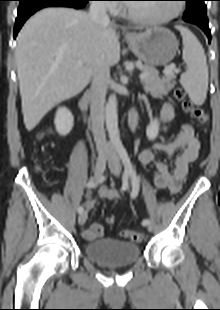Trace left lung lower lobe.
<instances>
[{
	"label": "left lung lower lobe",
	"instance_id": "0a47b994",
	"mask_svg": "<svg viewBox=\"0 0 220 310\" xmlns=\"http://www.w3.org/2000/svg\"><path fill=\"white\" fill-rule=\"evenodd\" d=\"M189 23L195 24L198 27H200L204 31V33L207 35L208 41L209 42L211 41V34H210V29L208 27V23H204V22H189Z\"/></svg>",
	"mask_w": 220,
	"mask_h": 310
}]
</instances>
